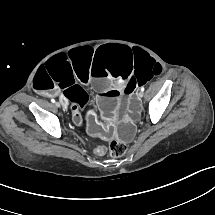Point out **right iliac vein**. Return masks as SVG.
Segmentation results:
<instances>
[{"instance_id": "right-iliac-vein-1", "label": "right iliac vein", "mask_w": 215, "mask_h": 215, "mask_svg": "<svg viewBox=\"0 0 215 215\" xmlns=\"http://www.w3.org/2000/svg\"><path fill=\"white\" fill-rule=\"evenodd\" d=\"M54 106L57 107V108H59L60 107V103L59 102H55Z\"/></svg>"}]
</instances>
